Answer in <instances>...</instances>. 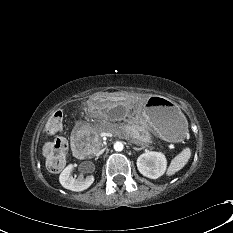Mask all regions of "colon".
Segmentation results:
<instances>
[{
	"label": "colon",
	"mask_w": 233,
	"mask_h": 233,
	"mask_svg": "<svg viewBox=\"0 0 233 233\" xmlns=\"http://www.w3.org/2000/svg\"><path fill=\"white\" fill-rule=\"evenodd\" d=\"M62 127L63 113L61 111H56L47 121L44 131L48 135H56L61 132ZM67 149V142L63 138H57L54 141L45 144L43 153L46 157L47 166L50 170L56 171L64 166Z\"/></svg>",
	"instance_id": "1"
}]
</instances>
